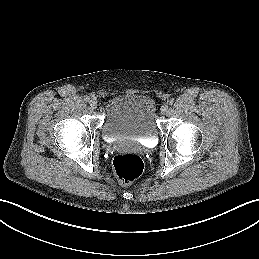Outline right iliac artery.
Returning a JSON list of instances; mask_svg holds the SVG:
<instances>
[{
  "instance_id": "right-iliac-artery-1",
  "label": "right iliac artery",
  "mask_w": 259,
  "mask_h": 259,
  "mask_svg": "<svg viewBox=\"0 0 259 259\" xmlns=\"http://www.w3.org/2000/svg\"><path fill=\"white\" fill-rule=\"evenodd\" d=\"M84 100H85L86 102H89V101H90V97H89V96H84Z\"/></svg>"
}]
</instances>
